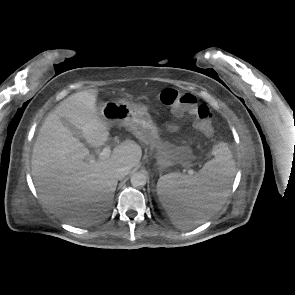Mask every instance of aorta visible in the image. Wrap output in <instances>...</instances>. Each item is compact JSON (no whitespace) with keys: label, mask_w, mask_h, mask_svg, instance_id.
Returning a JSON list of instances; mask_svg holds the SVG:
<instances>
[{"label":"aorta","mask_w":295,"mask_h":295,"mask_svg":"<svg viewBox=\"0 0 295 295\" xmlns=\"http://www.w3.org/2000/svg\"><path fill=\"white\" fill-rule=\"evenodd\" d=\"M130 182L133 187L141 188L145 186L147 182V176L142 172H136L131 176Z\"/></svg>","instance_id":"762f6f07"}]
</instances>
